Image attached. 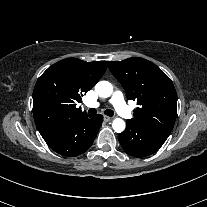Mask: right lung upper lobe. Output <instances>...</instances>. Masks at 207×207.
<instances>
[{
	"mask_svg": "<svg viewBox=\"0 0 207 207\" xmlns=\"http://www.w3.org/2000/svg\"><path fill=\"white\" fill-rule=\"evenodd\" d=\"M106 61L63 59L50 66L37 80L33 91V115L42 137L61 125L86 117L76 108L81 97L102 77Z\"/></svg>",
	"mask_w": 207,
	"mask_h": 207,
	"instance_id": "obj_1",
	"label": "right lung upper lobe"
}]
</instances>
